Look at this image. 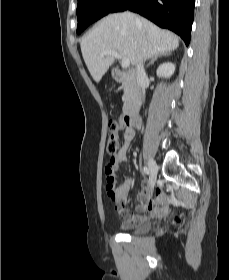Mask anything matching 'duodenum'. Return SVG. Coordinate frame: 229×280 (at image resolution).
<instances>
[{
    "label": "duodenum",
    "instance_id": "obj_1",
    "mask_svg": "<svg viewBox=\"0 0 229 280\" xmlns=\"http://www.w3.org/2000/svg\"><path fill=\"white\" fill-rule=\"evenodd\" d=\"M113 78L117 82L128 83V98L124 106V121L127 126H132L137 122V112L142 104V87L137 81L134 71L116 70Z\"/></svg>",
    "mask_w": 229,
    "mask_h": 280
}]
</instances>
